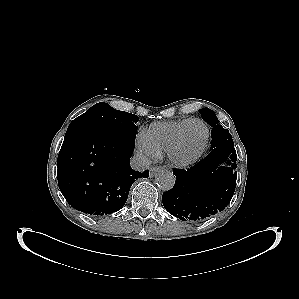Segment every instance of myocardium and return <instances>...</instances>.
Here are the masks:
<instances>
[{
  "label": "myocardium",
  "mask_w": 299,
  "mask_h": 299,
  "mask_svg": "<svg viewBox=\"0 0 299 299\" xmlns=\"http://www.w3.org/2000/svg\"><path fill=\"white\" fill-rule=\"evenodd\" d=\"M194 122H199L201 123L204 127H205V138L203 141V144L201 145V147L190 157L186 158V159H180L176 156V151L180 145L181 139L183 137V134L186 130V128ZM209 137H210V130L209 127L207 125V123L200 119V118H192L189 119L176 133L175 137L173 138L172 142L170 143V145L168 146V148L166 149V156L168 158V160L176 167L179 168H187L191 165H193L194 163H196L200 157L203 155V153L205 152L208 142H209Z\"/></svg>",
  "instance_id": "f54148a6"
}]
</instances>
